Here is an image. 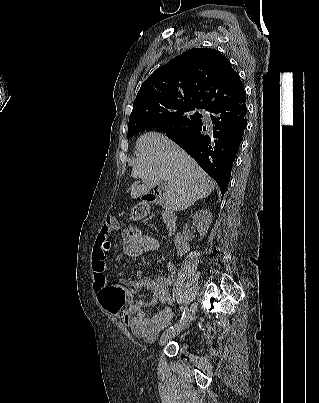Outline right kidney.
I'll return each mask as SVG.
<instances>
[{"mask_svg":"<svg viewBox=\"0 0 319 403\" xmlns=\"http://www.w3.org/2000/svg\"><path fill=\"white\" fill-rule=\"evenodd\" d=\"M192 218L193 224L197 227L201 240L208 232L209 226L212 223V213L210 210L202 209L196 212ZM187 241H189L188 238L181 233H178L175 236L174 244L177 248V254L179 256L184 255L190 250V246Z\"/></svg>","mask_w":319,"mask_h":403,"instance_id":"1","label":"right kidney"}]
</instances>
